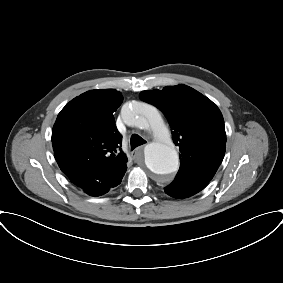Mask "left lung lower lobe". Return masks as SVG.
<instances>
[{
  "instance_id": "left-lung-lower-lobe-1",
  "label": "left lung lower lobe",
  "mask_w": 283,
  "mask_h": 283,
  "mask_svg": "<svg viewBox=\"0 0 283 283\" xmlns=\"http://www.w3.org/2000/svg\"><path fill=\"white\" fill-rule=\"evenodd\" d=\"M206 186L191 182L185 178L178 177L169 186L165 188V193L174 198H187L190 197Z\"/></svg>"
}]
</instances>
